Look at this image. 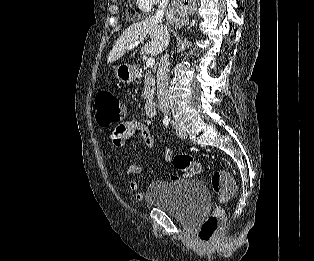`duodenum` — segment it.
<instances>
[{
  "label": "duodenum",
  "instance_id": "obj_1",
  "mask_svg": "<svg viewBox=\"0 0 314 261\" xmlns=\"http://www.w3.org/2000/svg\"><path fill=\"white\" fill-rule=\"evenodd\" d=\"M144 114L148 117L155 115V103L152 100H147L144 104Z\"/></svg>",
  "mask_w": 314,
  "mask_h": 261
}]
</instances>
